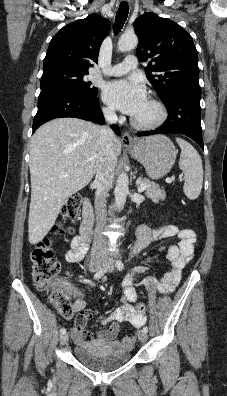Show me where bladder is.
<instances>
[{
    "instance_id": "31cf9c89",
    "label": "bladder",
    "mask_w": 227,
    "mask_h": 396,
    "mask_svg": "<svg viewBox=\"0 0 227 396\" xmlns=\"http://www.w3.org/2000/svg\"><path fill=\"white\" fill-rule=\"evenodd\" d=\"M74 355L81 364L94 371L115 370L131 359L129 352H108L96 343L76 345Z\"/></svg>"
}]
</instances>
